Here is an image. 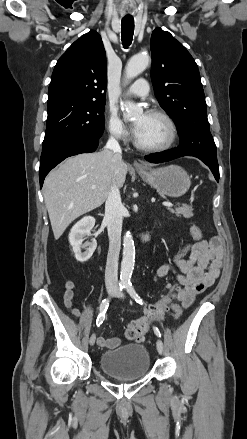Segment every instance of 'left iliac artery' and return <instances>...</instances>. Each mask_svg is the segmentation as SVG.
Here are the masks:
<instances>
[{"instance_id":"left-iliac-artery-1","label":"left iliac artery","mask_w":247,"mask_h":439,"mask_svg":"<svg viewBox=\"0 0 247 439\" xmlns=\"http://www.w3.org/2000/svg\"><path fill=\"white\" fill-rule=\"evenodd\" d=\"M125 288H126L127 292L130 294V296H131V297H132L137 303H139V304H141V305L144 304L142 298H140V296L135 292V290H134V288H133V286H132L131 283L127 284ZM153 329H154L155 334H156L158 337H161V333H160V331L158 330V328H157V327H153Z\"/></svg>"}]
</instances>
